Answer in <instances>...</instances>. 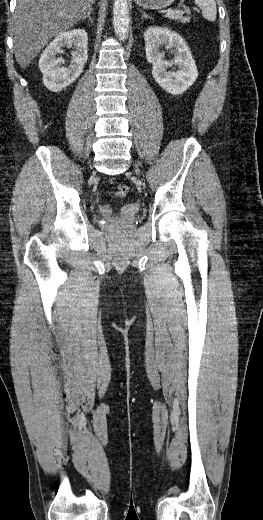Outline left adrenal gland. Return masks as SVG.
Instances as JSON below:
<instances>
[{
	"label": "left adrenal gland",
	"mask_w": 263,
	"mask_h": 520,
	"mask_svg": "<svg viewBox=\"0 0 263 520\" xmlns=\"http://www.w3.org/2000/svg\"><path fill=\"white\" fill-rule=\"evenodd\" d=\"M142 18H149V19H152L150 16H148L145 12H142Z\"/></svg>",
	"instance_id": "left-adrenal-gland-1"
}]
</instances>
